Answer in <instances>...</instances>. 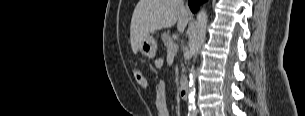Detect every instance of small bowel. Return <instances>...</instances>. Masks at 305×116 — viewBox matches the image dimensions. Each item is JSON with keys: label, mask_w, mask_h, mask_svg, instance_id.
Instances as JSON below:
<instances>
[{"label": "small bowel", "mask_w": 305, "mask_h": 116, "mask_svg": "<svg viewBox=\"0 0 305 116\" xmlns=\"http://www.w3.org/2000/svg\"><path fill=\"white\" fill-rule=\"evenodd\" d=\"M160 62H157L159 65ZM156 89V107L158 109V116H170L167 102H166V89L165 84L162 80H158L155 85Z\"/></svg>", "instance_id": "small-bowel-1"}]
</instances>
